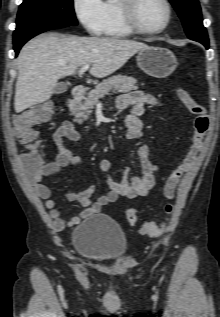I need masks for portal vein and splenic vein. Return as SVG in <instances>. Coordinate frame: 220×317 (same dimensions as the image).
Returning <instances> with one entry per match:
<instances>
[{"instance_id":"obj_1","label":"portal vein and splenic vein","mask_w":220,"mask_h":317,"mask_svg":"<svg viewBox=\"0 0 220 317\" xmlns=\"http://www.w3.org/2000/svg\"><path fill=\"white\" fill-rule=\"evenodd\" d=\"M90 65L89 64H86V65H83L79 72H78V75L79 76H82L88 69H89Z\"/></svg>"}]
</instances>
